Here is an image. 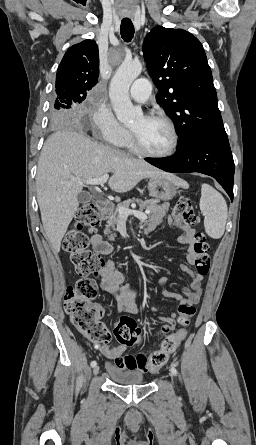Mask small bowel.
I'll return each instance as SVG.
<instances>
[{"label": "small bowel", "mask_w": 256, "mask_h": 445, "mask_svg": "<svg viewBox=\"0 0 256 445\" xmlns=\"http://www.w3.org/2000/svg\"><path fill=\"white\" fill-rule=\"evenodd\" d=\"M169 208L168 203H163L152 215L148 225L146 226V231L151 232L158 225H160L165 217V214ZM184 234L179 237V242L182 245H187L188 250V261L193 262L194 252L193 244L195 240V229L191 226L184 227ZM90 244L92 250L99 255H109L114 252V247L108 241L104 240L100 234H93L90 237ZM181 271L186 274L189 278V287H184L182 289L183 295L176 294L170 290L163 287L162 296L164 298H171L178 301V310L184 306L195 305L199 303L203 286L202 281L205 274L195 273L189 266L182 264L180 266ZM100 275V287L103 291L115 294L117 300V310L118 312H127L132 314L139 313V308L136 304L137 290L134 287H129L121 290V285L125 281L124 275L115 269V263L113 260H107L103 267L99 271ZM166 279H161V284L164 286ZM155 311V310H153ZM103 315V310L100 309V316ZM176 316L175 312H172L167 317H162L161 319L165 322L162 328L158 331V335L165 334L176 327ZM178 332L181 333V340H183L187 331L182 328ZM95 349L99 350L105 357L109 359H114V364H109V367L119 368L125 371H139L144 373L147 370L148 355L146 353H140L136 356L131 354L123 355L122 352L124 347H118L112 349L106 345L100 346L95 345ZM121 358L118 359V357Z\"/></svg>", "instance_id": "obj_1"}]
</instances>
